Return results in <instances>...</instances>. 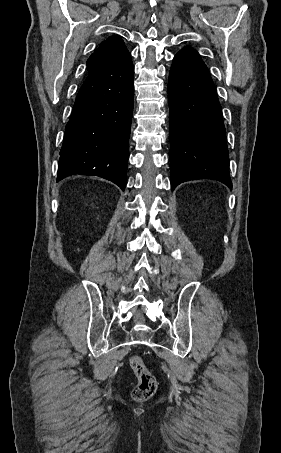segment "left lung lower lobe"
<instances>
[{
	"label": "left lung lower lobe",
	"mask_w": 281,
	"mask_h": 453,
	"mask_svg": "<svg viewBox=\"0 0 281 453\" xmlns=\"http://www.w3.org/2000/svg\"><path fill=\"white\" fill-rule=\"evenodd\" d=\"M171 181L213 179L232 188L228 149L216 88L200 55L184 47L169 74Z\"/></svg>",
	"instance_id": "left-lung-lower-lobe-1"
}]
</instances>
